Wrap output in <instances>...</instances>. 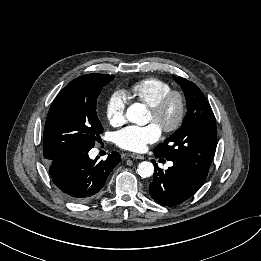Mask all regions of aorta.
I'll use <instances>...</instances> for the list:
<instances>
[{
  "label": "aorta",
  "instance_id": "762f6f07",
  "mask_svg": "<svg viewBox=\"0 0 261 261\" xmlns=\"http://www.w3.org/2000/svg\"><path fill=\"white\" fill-rule=\"evenodd\" d=\"M146 114L147 109L145 105L141 103H134L127 108L126 118L131 123L142 126L148 123ZM137 172L143 178L150 177L154 173V166L148 161H143L138 165Z\"/></svg>",
  "mask_w": 261,
  "mask_h": 261
}]
</instances>
